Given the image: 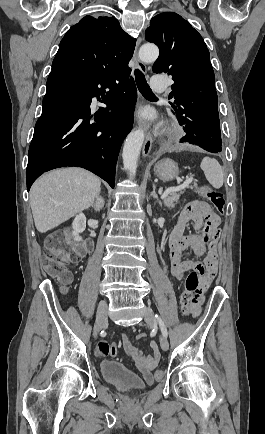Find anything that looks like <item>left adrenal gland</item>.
Here are the masks:
<instances>
[{
  "mask_svg": "<svg viewBox=\"0 0 265 434\" xmlns=\"http://www.w3.org/2000/svg\"><path fill=\"white\" fill-rule=\"evenodd\" d=\"M152 186H153V192H151L150 196H153V198H156L159 206H162V202H161V200H159V198H158V196H157V194L155 192V190H156L155 184H152Z\"/></svg>",
  "mask_w": 265,
  "mask_h": 434,
  "instance_id": "left-adrenal-gland-1",
  "label": "left adrenal gland"
}]
</instances>
